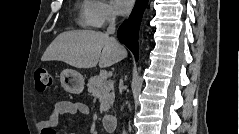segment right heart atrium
Wrapping results in <instances>:
<instances>
[{"label": "right heart atrium", "instance_id": "right-heart-atrium-1", "mask_svg": "<svg viewBox=\"0 0 239 134\" xmlns=\"http://www.w3.org/2000/svg\"><path fill=\"white\" fill-rule=\"evenodd\" d=\"M87 18L91 26L101 28L115 21L116 13L113 6L107 1H88Z\"/></svg>", "mask_w": 239, "mask_h": 134}]
</instances>
